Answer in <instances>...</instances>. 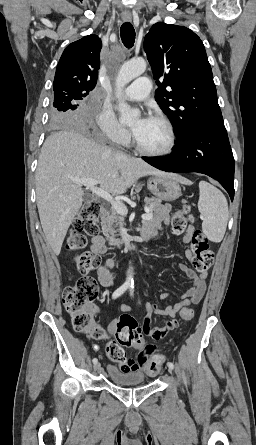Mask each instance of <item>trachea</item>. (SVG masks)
Instances as JSON below:
<instances>
[{
    "mask_svg": "<svg viewBox=\"0 0 256 445\" xmlns=\"http://www.w3.org/2000/svg\"><path fill=\"white\" fill-rule=\"evenodd\" d=\"M121 40L124 46L128 49L132 48L135 42V30L133 25L129 22H125L121 26Z\"/></svg>",
    "mask_w": 256,
    "mask_h": 445,
    "instance_id": "3493384b",
    "label": "trachea"
}]
</instances>
